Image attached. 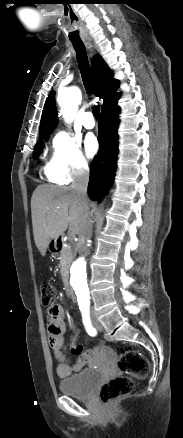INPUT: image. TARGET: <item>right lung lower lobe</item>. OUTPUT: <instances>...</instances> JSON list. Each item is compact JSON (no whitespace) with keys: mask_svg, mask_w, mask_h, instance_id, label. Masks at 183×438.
<instances>
[{"mask_svg":"<svg viewBox=\"0 0 183 438\" xmlns=\"http://www.w3.org/2000/svg\"><path fill=\"white\" fill-rule=\"evenodd\" d=\"M117 102L101 111L99 124V152L90 167L88 191L92 200H98L111 187L117 168L118 154V114Z\"/></svg>","mask_w":183,"mask_h":438,"instance_id":"98d812e1","label":"right lung lower lobe"}]
</instances>
